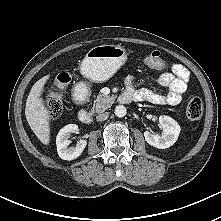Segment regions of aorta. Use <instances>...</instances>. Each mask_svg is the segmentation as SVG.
Masks as SVG:
<instances>
[{
    "label": "aorta",
    "instance_id": "obj_1",
    "mask_svg": "<svg viewBox=\"0 0 221 221\" xmlns=\"http://www.w3.org/2000/svg\"><path fill=\"white\" fill-rule=\"evenodd\" d=\"M114 113L117 117H124L127 113V109L123 105H118L115 107Z\"/></svg>",
    "mask_w": 221,
    "mask_h": 221
}]
</instances>
